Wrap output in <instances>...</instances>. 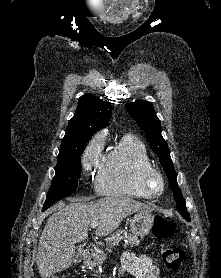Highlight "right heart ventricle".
Instances as JSON below:
<instances>
[{
  "mask_svg": "<svg viewBox=\"0 0 221 278\" xmlns=\"http://www.w3.org/2000/svg\"><path fill=\"white\" fill-rule=\"evenodd\" d=\"M152 166L145 144L126 135L104 154L95 176L96 189L106 196L149 198L139 183L141 169Z\"/></svg>",
  "mask_w": 221,
  "mask_h": 278,
  "instance_id": "e07e8e85",
  "label": "right heart ventricle"
}]
</instances>
